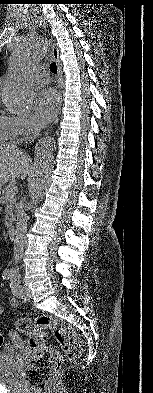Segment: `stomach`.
Returning <instances> with one entry per match:
<instances>
[{
  "instance_id": "1",
  "label": "stomach",
  "mask_w": 153,
  "mask_h": 393,
  "mask_svg": "<svg viewBox=\"0 0 153 393\" xmlns=\"http://www.w3.org/2000/svg\"><path fill=\"white\" fill-rule=\"evenodd\" d=\"M1 190H2V188H0V194H1Z\"/></svg>"
}]
</instances>
